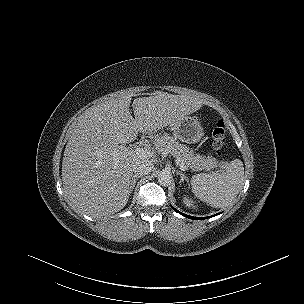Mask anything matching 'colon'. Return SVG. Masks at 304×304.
<instances>
[{
	"mask_svg": "<svg viewBox=\"0 0 304 304\" xmlns=\"http://www.w3.org/2000/svg\"><path fill=\"white\" fill-rule=\"evenodd\" d=\"M226 127L225 123L220 120L213 131V144L218 154H222V147L225 139Z\"/></svg>",
	"mask_w": 304,
	"mask_h": 304,
	"instance_id": "5ec220e1",
	"label": "colon"
}]
</instances>
